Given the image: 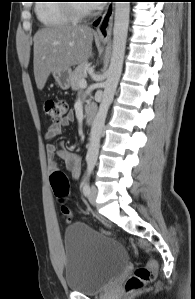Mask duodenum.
Wrapping results in <instances>:
<instances>
[{
    "mask_svg": "<svg viewBox=\"0 0 195 299\" xmlns=\"http://www.w3.org/2000/svg\"><path fill=\"white\" fill-rule=\"evenodd\" d=\"M97 107L94 103H90L84 107L83 116L87 124H92L95 120Z\"/></svg>",
    "mask_w": 195,
    "mask_h": 299,
    "instance_id": "410a0bca",
    "label": "duodenum"
}]
</instances>
